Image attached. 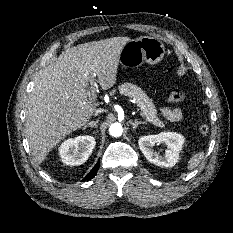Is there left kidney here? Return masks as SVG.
<instances>
[{"label":"left kidney","instance_id":"obj_1","mask_svg":"<svg viewBox=\"0 0 233 233\" xmlns=\"http://www.w3.org/2000/svg\"><path fill=\"white\" fill-rule=\"evenodd\" d=\"M164 143L167 148L164 155H159L153 147ZM139 148L146 159L157 166L173 167L179 160V153L184 144V137L176 132H161L139 138Z\"/></svg>","mask_w":233,"mask_h":233}]
</instances>
